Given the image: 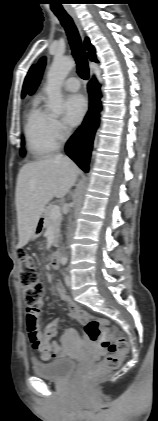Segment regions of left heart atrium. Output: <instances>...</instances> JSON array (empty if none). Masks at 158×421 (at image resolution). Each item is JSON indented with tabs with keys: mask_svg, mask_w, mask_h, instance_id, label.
Returning a JSON list of instances; mask_svg holds the SVG:
<instances>
[{
	"mask_svg": "<svg viewBox=\"0 0 158 421\" xmlns=\"http://www.w3.org/2000/svg\"><path fill=\"white\" fill-rule=\"evenodd\" d=\"M64 120L68 125L79 124L87 111V102L80 94H71L64 100Z\"/></svg>",
	"mask_w": 158,
	"mask_h": 421,
	"instance_id": "39dd6f15",
	"label": "left heart atrium"
}]
</instances>
